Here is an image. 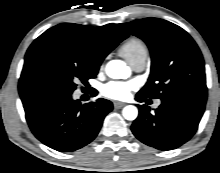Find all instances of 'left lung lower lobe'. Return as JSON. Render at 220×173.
Returning a JSON list of instances; mask_svg holds the SVG:
<instances>
[{
	"mask_svg": "<svg viewBox=\"0 0 220 173\" xmlns=\"http://www.w3.org/2000/svg\"><path fill=\"white\" fill-rule=\"evenodd\" d=\"M137 101L145 98L136 95ZM205 103L186 99H165L152 114L146 105L139 106L133 122V134L144 144L159 150H172L187 142L196 132Z\"/></svg>",
	"mask_w": 220,
	"mask_h": 173,
	"instance_id": "1",
	"label": "left lung lower lobe"
}]
</instances>
